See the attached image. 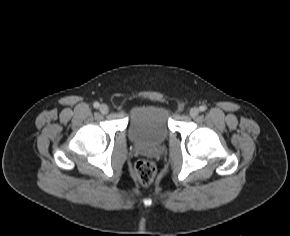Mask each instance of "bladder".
Here are the masks:
<instances>
[{
	"mask_svg": "<svg viewBox=\"0 0 290 236\" xmlns=\"http://www.w3.org/2000/svg\"><path fill=\"white\" fill-rule=\"evenodd\" d=\"M169 109L162 105H141L129 117L128 135L138 144L157 145L169 135Z\"/></svg>",
	"mask_w": 290,
	"mask_h": 236,
	"instance_id": "obj_1",
	"label": "bladder"
}]
</instances>
